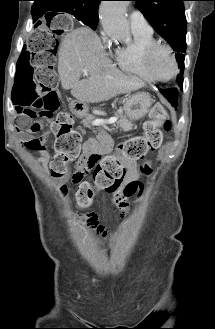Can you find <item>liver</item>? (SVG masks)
I'll return each instance as SVG.
<instances>
[{
	"mask_svg": "<svg viewBox=\"0 0 215 329\" xmlns=\"http://www.w3.org/2000/svg\"><path fill=\"white\" fill-rule=\"evenodd\" d=\"M81 69L89 73L80 80ZM58 73L64 89L83 103H98L130 93L145 83L119 71L104 53L99 37L81 27L68 33L59 48Z\"/></svg>",
	"mask_w": 215,
	"mask_h": 329,
	"instance_id": "liver-1",
	"label": "liver"
}]
</instances>
